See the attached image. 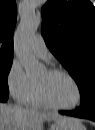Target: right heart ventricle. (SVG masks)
<instances>
[{
	"label": "right heart ventricle",
	"mask_w": 95,
	"mask_h": 130,
	"mask_svg": "<svg viewBox=\"0 0 95 130\" xmlns=\"http://www.w3.org/2000/svg\"><path fill=\"white\" fill-rule=\"evenodd\" d=\"M30 106L32 107H37V108H47L48 106L41 100L39 94H38V90H37V86L35 83L34 89L31 93V96L27 102Z\"/></svg>",
	"instance_id": "right-heart-ventricle-1"
}]
</instances>
